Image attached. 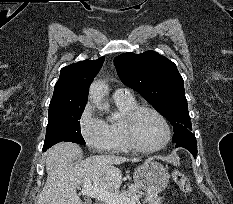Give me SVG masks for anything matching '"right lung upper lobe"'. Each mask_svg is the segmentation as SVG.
I'll return each mask as SVG.
<instances>
[{
    "mask_svg": "<svg viewBox=\"0 0 233 204\" xmlns=\"http://www.w3.org/2000/svg\"><path fill=\"white\" fill-rule=\"evenodd\" d=\"M104 62L84 60L61 69L50 105L86 103L89 86Z\"/></svg>",
    "mask_w": 233,
    "mask_h": 204,
    "instance_id": "1",
    "label": "right lung upper lobe"
}]
</instances>
